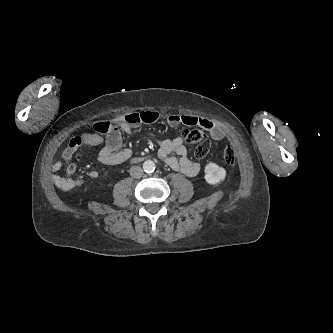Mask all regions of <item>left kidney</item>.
Instances as JSON below:
<instances>
[{
  "label": "left kidney",
  "mask_w": 333,
  "mask_h": 333,
  "mask_svg": "<svg viewBox=\"0 0 333 333\" xmlns=\"http://www.w3.org/2000/svg\"><path fill=\"white\" fill-rule=\"evenodd\" d=\"M226 176V171L216 163H209L205 166V180L209 184H217L223 181Z\"/></svg>",
  "instance_id": "5707ae66"
}]
</instances>
